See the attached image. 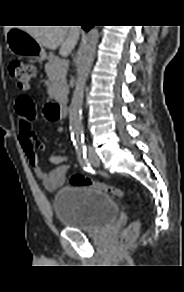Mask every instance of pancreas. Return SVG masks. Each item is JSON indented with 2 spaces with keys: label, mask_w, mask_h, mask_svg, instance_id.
I'll use <instances>...</instances> for the list:
<instances>
[{
  "label": "pancreas",
  "mask_w": 184,
  "mask_h": 292,
  "mask_svg": "<svg viewBox=\"0 0 184 292\" xmlns=\"http://www.w3.org/2000/svg\"><path fill=\"white\" fill-rule=\"evenodd\" d=\"M45 71L49 78L48 93L50 97L62 99L68 93L66 83L67 68L63 66L62 60H59L49 54L48 62L45 65Z\"/></svg>",
  "instance_id": "pancreas-1"
}]
</instances>
